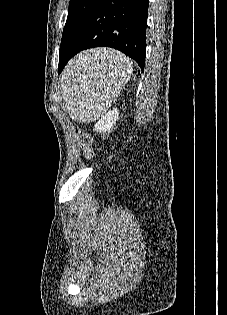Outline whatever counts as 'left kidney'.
Here are the masks:
<instances>
[{
    "mask_svg": "<svg viewBox=\"0 0 227 315\" xmlns=\"http://www.w3.org/2000/svg\"><path fill=\"white\" fill-rule=\"evenodd\" d=\"M118 117L119 112L117 109L109 111L104 116H102L101 119H99L98 122L94 125V130L99 133H106L107 131H110L111 128L115 125Z\"/></svg>",
    "mask_w": 227,
    "mask_h": 315,
    "instance_id": "obj_1",
    "label": "left kidney"
}]
</instances>
